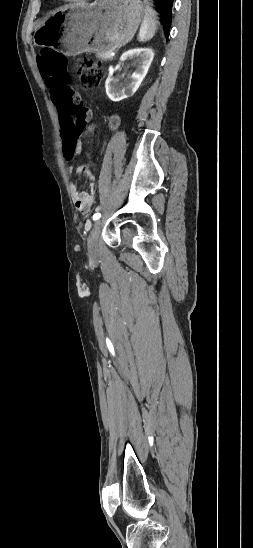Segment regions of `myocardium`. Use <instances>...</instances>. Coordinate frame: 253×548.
<instances>
[{
    "label": "myocardium",
    "mask_w": 253,
    "mask_h": 548,
    "mask_svg": "<svg viewBox=\"0 0 253 548\" xmlns=\"http://www.w3.org/2000/svg\"><path fill=\"white\" fill-rule=\"evenodd\" d=\"M65 2H80V1H83V0H63Z\"/></svg>",
    "instance_id": "1"
}]
</instances>
